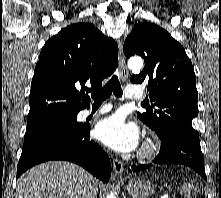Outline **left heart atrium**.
<instances>
[{
  "mask_svg": "<svg viewBox=\"0 0 221 198\" xmlns=\"http://www.w3.org/2000/svg\"><path fill=\"white\" fill-rule=\"evenodd\" d=\"M95 135L104 145L118 152H130L139 142L137 126L119 114L100 121L95 128Z\"/></svg>",
  "mask_w": 221,
  "mask_h": 198,
  "instance_id": "left-heart-atrium-1",
  "label": "left heart atrium"
}]
</instances>
